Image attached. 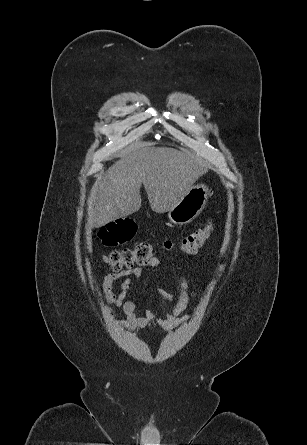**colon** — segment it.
Returning a JSON list of instances; mask_svg holds the SVG:
<instances>
[{
    "instance_id": "1",
    "label": "colon",
    "mask_w": 307,
    "mask_h": 445,
    "mask_svg": "<svg viewBox=\"0 0 307 445\" xmlns=\"http://www.w3.org/2000/svg\"><path fill=\"white\" fill-rule=\"evenodd\" d=\"M214 230V222L209 220L207 224L194 232L184 236L179 248L183 253L192 254L207 242ZM137 225L131 218H121L112 221L102 227L99 231V238L105 246L116 247L122 245L135 236ZM162 248L169 251L173 248L174 242L166 240L162 243ZM155 254V248L150 243H139L132 248L114 250L103 256V260L114 271L134 268L135 266L147 265Z\"/></svg>"
}]
</instances>
